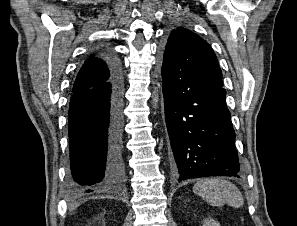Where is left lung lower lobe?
I'll use <instances>...</instances> for the list:
<instances>
[{"label":"left lung lower lobe","mask_w":297,"mask_h":226,"mask_svg":"<svg viewBox=\"0 0 297 226\" xmlns=\"http://www.w3.org/2000/svg\"><path fill=\"white\" fill-rule=\"evenodd\" d=\"M165 120L179 171L178 181L240 177L235 132L222 88L197 90L162 72Z\"/></svg>","instance_id":"left-lung-lower-lobe-1"}]
</instances>
